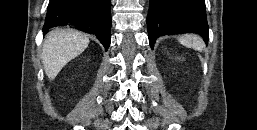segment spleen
I'll use <instances>...</instances> for the list:
<instances>
[{
    "mask_svg": "<svg viewBox=\"0 0 257 130\" xmlns=\"http://www.w3.org/2000/svg\"><path fill=\"white\" fill-rule=\"evenodd\" d=\"M179 42L188 48H193L202 52L204 50V43L202 38L197 35H184L179 38Z\"/></svg>",
    "mask_w": 257,
    "mask_h": 130,
    "instance_id": "spleen-1",
    "label": "spleen"
}]
</instances>
